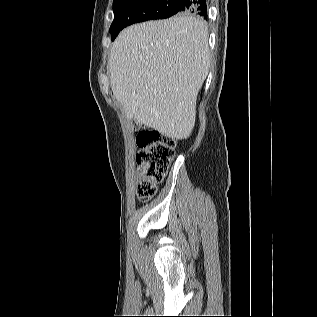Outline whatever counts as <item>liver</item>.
Wrapping results in <instances>:
<instances>
[{
    "label": "liver",
    "mask_w": 317,
    "mask_h": 317,
    "mask_svg": "<svg viewBox=\"0 0 317 317\" xmlns=\"http://www.w3.org/2000/svg\"><path fill=\"white\" fill-rule=\"evenodd\" d=\"M209 68L207 24L182 15L125 28L108 61L112 92L127 118L177 140L194 127Z\"/></svg>",
    "instance_id": "liver-1"
}]
</instances>
